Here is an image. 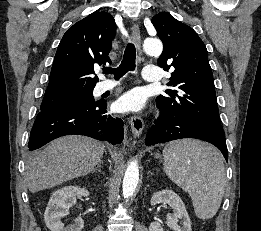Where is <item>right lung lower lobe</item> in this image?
Returning <instances> with one entry per match:
<instances>
[{"instance_id": "1", "label": "right lung lower lobe", "mask_w": 261, "mask_h": 231, "mask_svg": "<svg viewBox=\"0 0 261 231\" xmlns=\"http://www.w3.org/2000/svg\"><path fill=\"white\" fill-rule=\"evenodd\" d=\"M68 134L85 135L119 144L123 140V121L107 112L105 100L41 111L32 127L28 147L35 150Z\"/></svg>"}]
</instances>
